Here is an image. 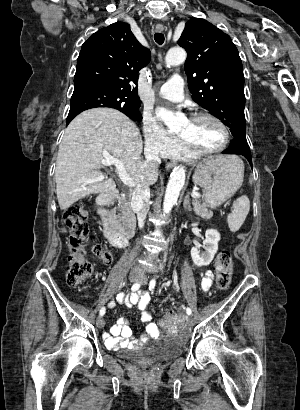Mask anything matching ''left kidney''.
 Returning a JSON list of instances; mask_svg holds the SVG:
<instances>
[{
  "instance_id": "left-kidney-1",
  "label": "left kidney",
  "mask_w": 300,
  "mask_h": 410,
  "mask_svg": "<svg viewBox=\"0 0 300 410\" xmlns=\"http://www.w3.org/2000/svg\"><path fill=\"white\" fill-rule=\"evenodd\" d=\"M219 241L220 234L217 230H206L205 239L202 245L205 251H201L200 246H195L191 249L193 263L198 267L209 265L217 253Z\"/></svg>"
}]
</instances>
